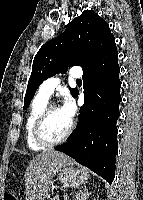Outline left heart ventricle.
Masks as SVG:
<instances>
[{
	"instance_id": "left-heart-ventricle-1",
	"label": "left heart ventricle",
	"mask_w": 143,
	"mask_h": 200,
	"mask_svg": "<svg viewBox=\"0 0 143 200\" xmlns=\"http://www.w3.org/2000/svg\"><path fill=\"white\" fill-rule=\"evenodd\" d=\"M69 120L60 108L53 109L45 125V134L50 139L60 138L68 129Z\"/></svg>"
}]
</instances>
